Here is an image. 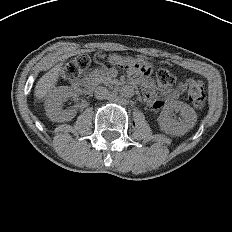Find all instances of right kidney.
Returning a JSON list of instances; mask_svg holds the SVG:
<instances>
[{
  "mask_svg": "<svg viewBox=\"0 0 232 232\" xmlns=\"http://www.w3.org/2000/svg\"><path fill=\"white\" fill-rule=\"evenodd\" d=\"M76 93L71 87L59 86L52 89L45 98L46 115L51 121L62 123L72 120L76 116V110L62 109L63 102L74 97Z\"/></svg>",
  "mask_w": 232,
  "mask_h": 232,
  "instance_id": "1",
  "label": "right kidney"
}]
</instances>
